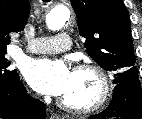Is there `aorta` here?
<instances>
[{
	"label": "aorta",
	"mask_w": 142,
	"mask_h": 119,
	"mask_svg": "<svg viewBox=\"0 0 142 119\" xmlns=\"http://www.w3.org/2000/svg\"><path fill=\"white\" fill-rule=\"evenodd\" d=\"M70 18V11L65 6H56L46 15V25L52 31L63 28Z\"/></svg>",
	"instance_id": "762f6f07"
}]
</instances>
